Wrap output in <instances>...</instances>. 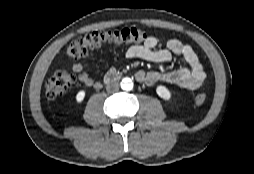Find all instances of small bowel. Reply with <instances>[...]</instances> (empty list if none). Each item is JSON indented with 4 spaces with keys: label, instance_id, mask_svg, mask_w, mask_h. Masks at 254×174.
<instances>
[{
    "label": "small bowel",
    "instance_id": "c3829d8e",
    "mask_svg": "<svg viewBox=\"0 0 254 174\" xmlns=\"http://www.w3.org/2000/svg\"><path fill=\"white\" fill-rule=\"evenodd\" d=\"M173 55L182 57L186 66L169 72L139 70L135 74L137 81L148 86L157 82H166L188 90L201 88L206 82L207 75L197 54L188 44L171 39L167 41L164 48H159L158 39L148 36L143 43L131 45L125 52V57L128 59L138 58L153 63L168 62ZM84 67L83 62H76L72 66L73 72L78 75V80L87 87L99 88L100 83L84 71Z\"/></svg>",
    "mask_w": 254,
    "mask_h": 174
}]
</instances>
